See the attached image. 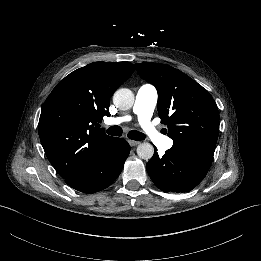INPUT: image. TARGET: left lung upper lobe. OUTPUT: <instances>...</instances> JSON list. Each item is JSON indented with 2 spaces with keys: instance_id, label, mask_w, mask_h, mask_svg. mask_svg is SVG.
<instances>
[{
  "instance_id": "left-lung-upper-lobe-1",
  "label": "left lung upper lobe",
  "mask_w": 261,
  "mask_h": 261,
  "mask_svg": "<svg viewBox=\"0 0 261 261\" xmlns=\"http://www.w3.org/2000/svg\"><path fill=\"white\" fill-rule=\"evenodd\" d=\"M141 78L158 91V115L168 124L173 146L197 147L214 153L219 113L212 96L200 84L169 65L135 64Z\"/></svg>"
}]
</instances>
